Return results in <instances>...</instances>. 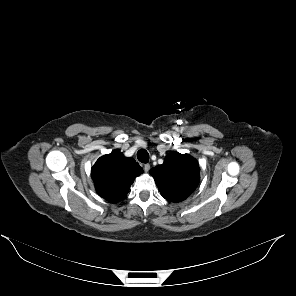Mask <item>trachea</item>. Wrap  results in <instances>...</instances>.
Instances as JSON below:
<instances>
[{
    "mask_svg": "<svg viewBox=\"0 0 296 296\" xmlns=\"http://www.w3.org/2000/svg\"><path fill=\"white\" fill-rule=\"evenodd\" d=\"M137 158L142 163H148L149 162V154L145 149H140L137 152Z\"/></svg>",
    "mask_w": 296,
    "mask_h": 296,
    "instance_id": "obj_1",
    "label": "trachea"
}]
</instances>
